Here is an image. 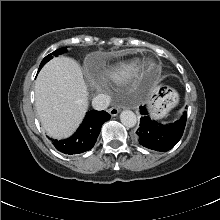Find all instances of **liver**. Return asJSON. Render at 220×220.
<instances>
[{"instance_id":"obj_1","label":"liver","mask_w":220,"mask_h":220,"mask_svg":"<svg viewBox=\"0 0 220 220\" xmlns=\"http://www.w3.org/2000/svg\"><path fill=\"white\" fill-rule=\"evenodd\" d=\"M35 105L44 130L53 138L69 137L88 108V91L80 65L55 57L35 81Z\"/></svg>"}]
</instances>
